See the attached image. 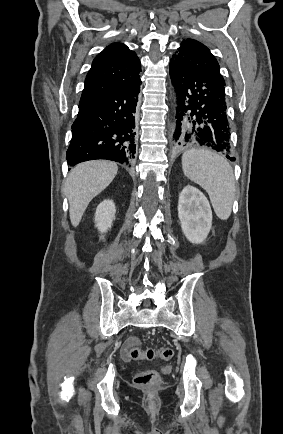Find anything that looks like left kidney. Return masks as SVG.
I'll return each mask as SVG.
<instances>
[{
  "mask_svg": "<svg viewBox=\"0 0 283 434\" xmlns=\"http://www.w3.org/2000/svg\"><path fill=\"white\" fill-rule=\"evenodd\" d=\"M178 217L186 238L193 244H201L212 226L209 201L197 188L187 185L179 195Z\"/></svg>",
  "mask_w": 283,
  "mask_h": 434,
  "instance_id": "left-kidney-1",
  "label": "left kidney"
}]
</instances>
